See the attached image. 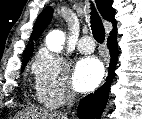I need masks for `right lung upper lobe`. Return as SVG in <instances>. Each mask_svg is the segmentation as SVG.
I'll return each instance as SVG.
<instances>
[{"label":"right lung upper lobe","instance_id":"1","mask_svg":"<svg viewBox=\"0 0 142 119\" xmlns=\"http://www.w3.org/2000/svg\"><path fill=\"white\" fill-rule=\"evenodd\" d=\"M95 2H96L97 8L100 14L102 15V17L110 21L113 24L112 32H116L117 22L114 17L115 10L114 8H112L113 0H95ZM52 15H53V10L51 7H47L41 12V14L38 16L36 23L34 25V29L31 35V42L36 41L39 38L41 33L44 31V29L49 24L52 18ZM33 49L34 47L32 44L27 45L24 58H23V63L29 60V57L33 53Z\"/></svg>","mask_w":142,"mask_h":119}]
</instances>
